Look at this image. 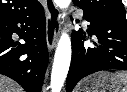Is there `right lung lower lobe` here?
Returning <instances> with one entry per match:
<instances>
[{
  "mask_svg": "<svg viewBox=\"0 0 127 92\" xmlns=\"http://www.w3.org/2000/svg\"><path fill=\"white\" fill-rule=\"evenodd\" d=\"M17 33L24 44L12 39ZM48 64L44 10L37 7L0 22V74L18 82L27 92H40Z\"/></svg>",
  "mask_w": 127,
  "mask_h": 92,
  "instance_id": "right-lung-lower-lobe-1",
  "label": "right lung lower lobe"
}]
</instances>
